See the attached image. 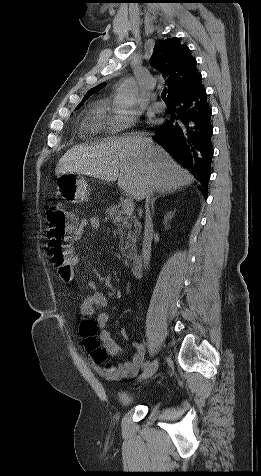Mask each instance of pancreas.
<instances>
[{
    "mask_svg": "<svg viewBox=\"0 0 261 476\" xmlns=\"http://www.w3.org/2000/svg\"><path fill=\"white\" fill-rule=\"evenodd\" d=\"M106 214L113 224L118 226L120 250L122 256L129 258L135 251V243L140 234L141 224L132 213L127 214L117 205L107 207ZM132 225L135 229L132 230Z\"/></svg>",
    "mask_w": 261,
    "mask_h": 476,
    "instance_id": "1",
    "label": "pancreas"
}]
</instances>
